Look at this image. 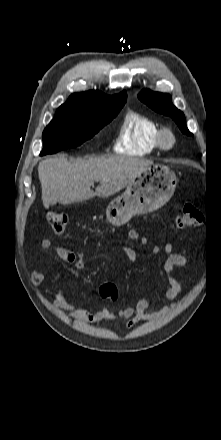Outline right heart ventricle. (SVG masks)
Segmentation results:
<instances>
[{"mask_svg":"<svg viewBox=\"0 0 221 440\" xmlns=\"http://www.w3.org/2000/svg\"><path fill=\"white\" fill-rule=\"evenodd\" d=\"M160 130L159 124L151 118L130 111L120 125L114 150L129 156H145L159 151Z\"/></svg>","mask_w":221,"mask_h":440,"instance_id":"e07e8e85","label":"right heart ventricle"}]
</instances>
